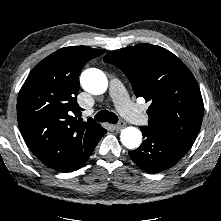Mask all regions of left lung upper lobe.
<instances>
[{
  "instance_id": "5c2ea615",
  "label": "left lung upper lobe",
  "mask_w": 221,
  "mask_h": 221,
  "mask_svg": "<svg viewBox=\"0 0 221 221\" xmlns=\"http://www.w3.org/2000/svg\"><path fill=\"white\" fill-rule=\"evenodd\" d=\"M104 61L121 69L136 97L151 103L146 128L194 143L203 119V100L194 76L179 58L145 43L111 51Z\"/></svg>"
}]
</instances>
